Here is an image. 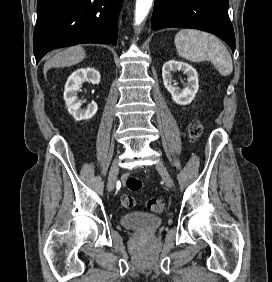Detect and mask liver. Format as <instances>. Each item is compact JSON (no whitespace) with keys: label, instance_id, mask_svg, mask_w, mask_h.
Masks as SVG:
<instances>
[{"label":"liver","instance_id":"1","mask_svg":"<svg viewBox=\"0 0 272 282\" xmlns=\"http://www.w3.org/2000/svg\"><path fill=\"white\" fill-rule=\"evenodd\" d=\"M86 57L82 46H74L63 51H58L55 55L47 59L44 65V74L53 67H67L75 65Z\"/></svg>","mask_w":272,"mask_h":282}]
</instances>
